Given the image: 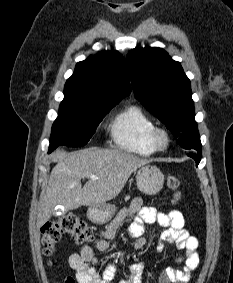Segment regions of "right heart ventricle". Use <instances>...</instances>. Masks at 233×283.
Masks as SVG:
<instances>
[{"label":"right heart ventricle","mask_w":233,"mask_h":283,"mask_svg":"<svg viewBox=\"0 0 233 283\" xmlns=\"http://www.w3.org/2000/svg\"><path fill=\"white\" fill-rule=\"evenodd\" d=\"M155 128L154 120L141 107L130 105L114 117L110 125V135L119 149L150 156L155 153L150 141Z\"/></svg>","instance_id":"e07e8e85"}]
</instances>
